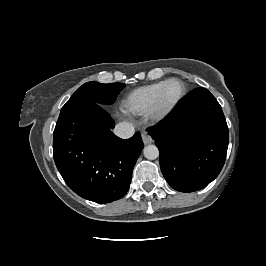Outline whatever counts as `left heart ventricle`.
Returning <instances> with one entry per match:
<instances>
[{
  "label": "left heart ventricle",
  "instance_id": "left-heart-ventricle-1",
  "mask_svg": "<svg viewBox=\"0 0 266 266\" xmlns=\"http://www.w3.org/2000/svg\"><path fill=\"white\" fill-rule=\"evenodd\" d=\"M180 91H181V88L178 83H171L170 85H168L162 96L163 106L164 107L170 106L179 96Z\"/></svg>",
  "mask_w": 266,
  "mask_h": 266
}]
</instances>
